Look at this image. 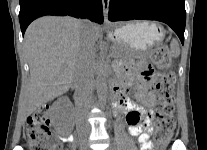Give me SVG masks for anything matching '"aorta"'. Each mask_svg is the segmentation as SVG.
I'll return each instance as SVG.
<instances>
[{"label": "aorta", "mask_w": 207, "mask_h": 150, "mask_svg": "<svg viewBox=\"0 0 207 150\" xmlns=\"http://www.w3.org/2000/svg\"><path fill=\"white\" fill-rule=\"evenodd\" d=\"M107 76L108 71L104 63H99L96 72L95 87L97 91V96L101 105L106 104L107 100Z\"/></svg>", "instance_id": "762f6f07"}]
</instances>
